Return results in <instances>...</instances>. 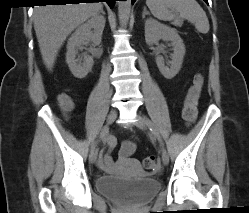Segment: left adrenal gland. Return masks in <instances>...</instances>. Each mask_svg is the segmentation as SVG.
<instances>
[{"label": "left adrenal gland", "instance_id": "a2214340", "mask_svg": "<svg viewBox=\"0 0 249 213\" xmlns=\"http://www.w3.org/2000/svg\"><path fill=\"white\" fill-rule=\"evenodd\" d=\"M145 15H149V12L147 11L146 7H144L143 9V14H142V18H145Z\"/></svg>", "mask_w": 249, "mask_h": 213}]
</instances>
